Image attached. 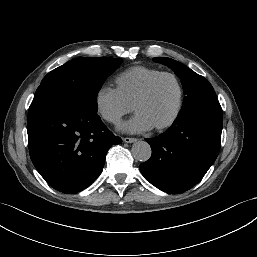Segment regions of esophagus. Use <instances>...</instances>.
I'll return each instance as SVG.
<instances>
[{
	"label": "esophagus",
	"instance_id": "34e87169",
	"mask_svg": "<svg viewBox=\"0 0 257 257\" xmlns=\"http://www.w3.org/2000/svg\"><path fill=\"white\" fill-rule=\"evenodd\" d=\"M123 141H124L125 143H133V142H136L137 139H136V138H133V137H124V138H123Z\"/></svg>",
	"mask_w": 257,
	"mask_h": 257
}]
</instances>
